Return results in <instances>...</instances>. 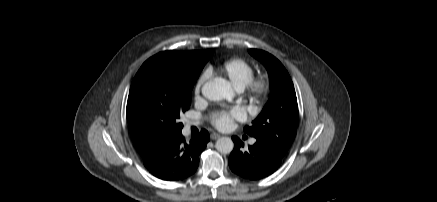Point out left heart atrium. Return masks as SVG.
Masks as SVG:
<instances>
[{
    "instance_id": "obj_1",
    "label": "left heart atrium",
    "mask_w": 437,
    "mask_h": 202,
    "mask_svg": "<svg viewBox=\"0 0 437 202\" xmlns=\"http://www.w3.org/2000/svg\"><path fill=\"white\" fill-rule=\"evenodd\" d=\"M244 118L245 114L242 109L233 108L218 112L214 116L212 123L217 129L225 131L233 126L234 121H241L244 120Z\"/></svg>"
}]
</instances>
